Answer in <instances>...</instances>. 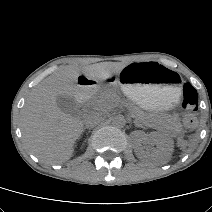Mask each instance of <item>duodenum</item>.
Returning a JSON list of instances; mask_svg holds the SVG:
<instances>
[{
  "label": "duodenum",
  "mask_w": 212,
  "mask_h": 212,
  "mask_svg": "<svg viewBox=\"0 0 212 212\" xmlns=\"http://www.w3.org/2000/svg\"><path fill=\"white\" fill-rule=\"evenodd\" d=\"M93 81L83 78V80H80L78 82V87H79V95L81 98H83L85 101L87 100L88 94L93 88Z\"/></svg>",
  "instance_id": "duodenum-1"
}]
</instances>
